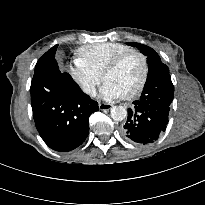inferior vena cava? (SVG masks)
Instances as JSON below:
<instances>
[{
  "instance_id": "obj_1",
  "label": "inferior vena cava",
  "mask_w": 205,
  "mask_h": 205,
  "mask_svg": "<svg viewBox=\"0 0 205 205\" xmlns=\"http://www.w3.org/2000/svg\"><path fill=\"white\" fill-rule=\"evenodd\" d=\"M83 91L89 95H91L92 97L96 96V89L94 86H85L83 87Z\"/></svg>"
}]
</instances>
